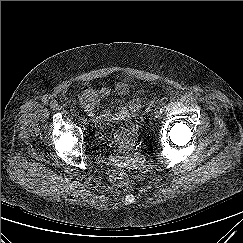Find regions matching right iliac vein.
I'll return each mask as SVG.
<instances>
[{"instance_id":"63e3f726","label":"right iliac vein","mask_w":243,"mask_h":243,"mask_svg":"<svg viewBox=\"0 0 243 243\" xmlns=\"http://www.w3.org/2000/svg\"><path fill=\"white\" fill-rule=\"evenodd\" d=\"M79 120L83 123L86 124L87 119L85 117H80Z\"/></svg>"}]
</instances>
